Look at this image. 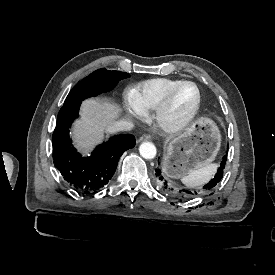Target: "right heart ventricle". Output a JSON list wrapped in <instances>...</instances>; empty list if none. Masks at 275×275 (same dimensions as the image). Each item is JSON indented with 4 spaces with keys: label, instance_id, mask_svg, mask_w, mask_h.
<instances>
[{
    "label": "right heart ventricle",
    "instance_id": "e07e8e85",
    "mask_svg": "<svg viewBox=\"0 0 275 275\" xmlns=\"http://www.w3.org/2000/svg\"><path fill=\"white\" fill-rule=\"evenodd\" d=\"M177 82V80L168 78L146 81L133 92L132 101L143 112L155 111L163 102L170 88Z\"/></svg>",
    "mask_w": 275,
    "mask_h": 275
}]
</instances>
